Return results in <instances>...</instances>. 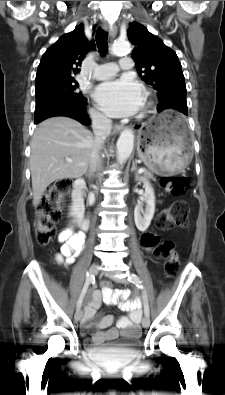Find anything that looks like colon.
Wrapping results in <instances>:
<instances>
[{"label":"colon","mask_w":225,"mask_h":395,"mask_svg":"<svg viewBox=\"0 0 225 395\" xmlns=\"http://www.w3.org/2000/svg\"><path fill=\"white\" fill-rule=\"evenodd\" d=\"M189 185V179L184 175L165 176L161 179L162 188L173 196H183ZM71 187L69 179H61L51 184L37 207L36 240L39 245L46 246L56 236V222L61 217L63 198ZM189 207L183 200L175 201L168 209L162 211L157 218V226L163 231L173 227H185L188 224ZM142 245L152 251L155 257L165 262L167 276H176L179 271V257L171 241L160 242L154 233H147L142 237ZM103 288H111L109 278H102Z\"/></svg>","instance_id":"5ec220e1"}]
</instances>
